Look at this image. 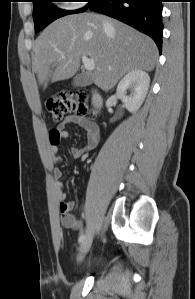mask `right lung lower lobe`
Segmentation results:
<instances>
[{"instance_id": "obj_1", "label": "right lung lower lobe", "mask_w": 195, "mask_h": 299, "mask_svg": "<svg viewBox=\"0 0 195 299\" xmlns=\"http://www.w3.org/2000/svg\"><path fill=\"white\" fill-rule=\"evenodd\" d=\"M163 0H93L90 10L118 19L150 36L162 48Z\"/></svg>"}]
</instances>
